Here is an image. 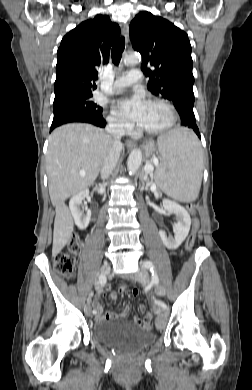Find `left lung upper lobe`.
<instances>
[{"label":"left lung upper lobe","mask_w":252,"mask_h":390,"mask_svg":"<svg viewBox=\"0 0 252 390\" xmlns=\"http://www.w3.org/2000/svg\"><path fill=\"white\" fill-rule=\"evenodd\" d=\"M134 50L142 55L141 70L149 77L148 90L172 101L178 113L193 111L194 76L187 34L168 20L140 12L129 26Z\"/></svg>","instance_id":"5c2ea615"}]
</instances>
